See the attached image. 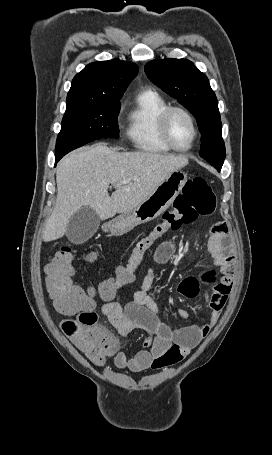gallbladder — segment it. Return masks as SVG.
Here are the masks:
<instances>
[{
  "mask_svg": "<svg viewBox=\"0 0 272 455\" xmlns=\"http://www.w3.org/2000/svg\"><path fill=\"white\" fill-rule=\"evenodd\" d=\"M100 226L97 213L88 206H83L70 218L66 227L68 240L80 244L91 238Z\"/></svg>",
  "mask_w": 272,
  "mask_h": 455,
  "instance_id": "bac80fb5",
  "label": "gallbladder"
}]
</instances>
